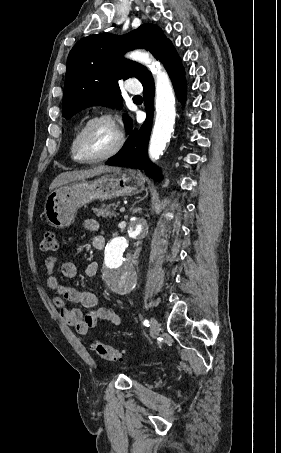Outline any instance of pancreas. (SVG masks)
<instances>
[{
  "label": "pancreas",
  "mask_w": 281,
  "mask_h": 453,
  "mask_svg": "<svg viewBox=\"0 0 281 453\" xmlns=\"http://www.w3.org/2000/svg\"><path fill=\"white\" fill-rule=\"evenodd\" d=\"M110 206H113V204H107V206H99V208H93V210L95 214H97V216H105V218H107V216H113V214H115L113 210H109Z\"/></svg>",
  "instance_id": "pancreas-1"
}]
</instances>
